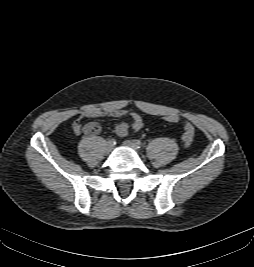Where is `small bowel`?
I'll list each match as a JSON object with an SVG mask.
<instances>
[{"label": "small bowel", "instance_id": "1", "mask_svg": "<svg viewBox=\"0 0 254 267\" xmlns=\"http://www.w3.org/2000/svg\"><path fill=\"white\" fill-rule=\"evenodd\" d=\"M125 116L130 117L131 123L128 124L126 122H122L115 127V133L119 137H125L130 133H136L143 127V120L139 114L134 112H128L127 110L124 109L109 108L104 110L93 109L82 112L79 115V118L73 122V130L76 134H79L83 131L84 134L88 136H95L100 132L99 124L96 122H90L85 126H82L81 123L82 118H102V117L121 118Z\"/></svg>", "mask_w": 254, "mask_h": 267}]
</instances>
